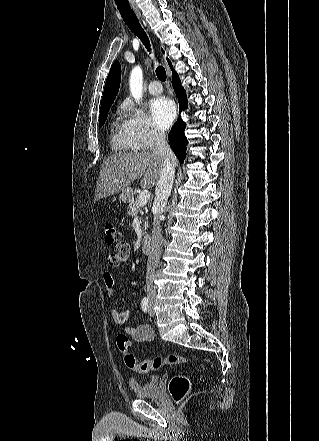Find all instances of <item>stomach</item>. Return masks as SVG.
Here are the masks:
<instances>
[{"label":"stomach","instance_id":"0dacf381","mask_svg":"<svg viewBox=\"0 0 319 441\" xmlns=\"http://www.w3.org/2000/svg\"><path fill=\"white\" fill-rule=\"evenodd\" d=\"M119 198L122 202H128L131 199V191L128 189L122 191Z\"/></svg>","mask_w":319,"mask_h":441}]
</instances>
